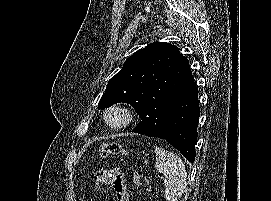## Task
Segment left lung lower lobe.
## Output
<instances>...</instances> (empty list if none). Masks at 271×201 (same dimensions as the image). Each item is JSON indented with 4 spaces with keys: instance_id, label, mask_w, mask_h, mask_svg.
<instances>
[{
    "instance_id": "obj_1",
    "label": "left lung lower lobe",
    "mask_w": 271,
    "mask_h": 201,
    "mask_svg": "<svg viewBox=\"0 0 271 201\" xmlns=\"http://www.w3.org/2000/svg\"><path fill=\"white\" fill-rule=\"evenodd\" d=\"M187 63L184 80L170 105L164 128L158 138L165 139L189 162H194L197 140V122L200 115L198 92ZM143 126L138 124L132 132L142 134Z\"/></svg>"
}]
</instances>
